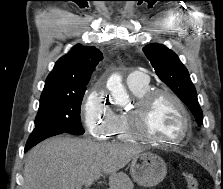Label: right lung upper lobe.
Instances as JSON below:
<instances>
[{"label": "right lung upper lobe", "instance_id": "obj_1", "mask_svg": "<svg viewBox=\"0 0 223 189\" xmlns=\"http://www.w3.org/2000/svg\"><path fill=\"white\" fill-rule=\"evenodd\" d=\"M102 59V53L95 47L77 44L55 63L42 94L75 92L86 88L93 70Z\"/></svg>", "mask_w": 223, "mask_h": 189}]
</instances>
